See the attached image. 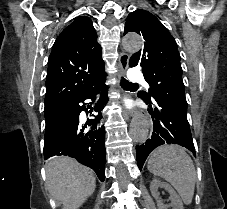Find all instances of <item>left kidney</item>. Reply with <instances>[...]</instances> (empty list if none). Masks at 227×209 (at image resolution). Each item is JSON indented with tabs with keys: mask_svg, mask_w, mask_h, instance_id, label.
<instances>
[{
	"mask_svg": "<svg viewBox=\"0 0 227 209\" xmlns=\"http://www.w3.org/2000/svg\"><path fill=\"white\" fill-rule=\"evenodd\" d=\"M159 187L168 191L170 195L169 201H171V203L170 205H163V201H158V209H168V207H173V209H184L183 203L179 195L175 193L171 185H168V183H162V181H159V179H153V181H151L150 183V191L152 193V197H155V199H159Z\"/></svg>",
	"mask_w": 227,
	"mask_h": 209,
	"instance_id": "obj_1",
	"label": "left kidney"
}]
</instances>
